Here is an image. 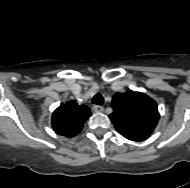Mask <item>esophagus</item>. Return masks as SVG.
<instances>
[{
	"mask_svg": "<svg viewBox=\"0 0 190 188\" xmlns=\"http://www.w3.org/2000/svg\"><path fill=\"white\" fill-rule=\"evenodd\" d=\"M92 109L94 112H97V113L103 112V110H104V108L100 105H94Z\"/></svg>",
	"mask_w": 190,
	"mask_h": 188,
	"instance_id": "esophagus-1",
	"label": "esophagus"
}]
</instances>
